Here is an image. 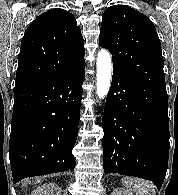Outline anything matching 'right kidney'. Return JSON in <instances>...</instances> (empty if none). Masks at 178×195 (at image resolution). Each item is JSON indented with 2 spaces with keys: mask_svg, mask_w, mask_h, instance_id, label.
Instances as JSON below:
<instances>
[{
  "mask_svg": "<svg viewBox=\"0 0 178 195\" xmlns=\"http://www.w3.org/2000/svg\"><path fill=\"white\" fill-rule=\"evenodd\" d=\"M30 195H61V193L57 184L48 183L33 190Z\"/></svg>",
  "mask_w": 178,
  "mask_h": 195,
  "instance_id": "obj_1",
  "label": "right kidney"
}]
</instances>
